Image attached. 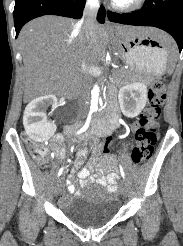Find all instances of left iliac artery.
<instances>
[{
	"label": "left iliac artery",
	"instance_id": "obj_1",
	"mask_svg": "<svg viewBox=\"0 0 183 246\" xmlns=\"http://www.w3.org/2000/svg\"><path fill=\"white\" fill-rule=\"evenodd\" d=\"M120 172H121V176L123 177V179H125V172L123 170V167L120 165Z\"/></svg>",
	"mask_w": 183,
	"mask_h": 246
}]
</instances>
